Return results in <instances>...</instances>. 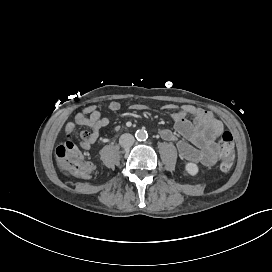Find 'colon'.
<instances>
[{
  "label": "colon",
  "mask_w": 272,
  "mask_h": 272,
  "mask_svg": "<svg viewBox=\"0 0 272 272\" xmlns=\"http://www.w3.org/2000/svg\"><path fill=\"white\" fill-rule=\"evenodd\" d=\"M64 142L56 147L55 153L58 159V165L65 167L68 172L88 175L91 172V165L85 163L76 148L74 137L69 131L64 136ZM213 157L220 158V169L229 171L235 158V146L233 136L230 132H223L220 137V144L212 153Z\"/></svg>",
  "instance_id": "1"
}]
</instances>
